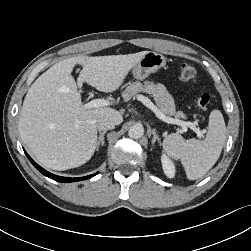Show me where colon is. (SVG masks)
<instances>
[{
  "instance_id": "obj_1",
  "label": "colon",
  "mask_w": 251,
  "mask_h": 251,
  "mask_svg": "<svg viewBox=\"0 0 251 251\" xmlns=\"http://www.w3.org/2000/svg\"><path fill=\"white\" fill-rule=\"evenodd\" d=\"M180 76L182 80L189 82V83H196L197 81V72L196 69L188 64V63H183L180 66ZM211 102V96L208 93H200L197 96L196 103L199 108L206 110Z\"/></svg>"
}]
</instances>
